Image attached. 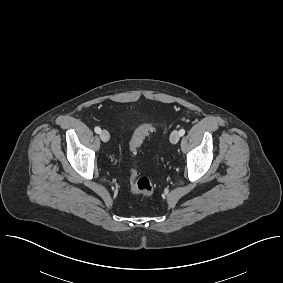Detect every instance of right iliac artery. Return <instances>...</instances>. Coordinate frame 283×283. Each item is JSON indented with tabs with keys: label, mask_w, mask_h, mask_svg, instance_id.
<instances>
[{
	"label": "right iliac artery",
	"mask_w": 283,
	"mask_h": 283,
	"mask_svg": "<svg viewBox=\"0 0 283 283\" xmlns=\"http://www.w3.org/2000/svg\"><path fill=\"white\" fill-rule=\"evenodd\" d=\"M94 131H95L97 134H99V133L101 132V129H100V127H95V128H94Z\"/></svg>",
	"instance_id": "1"
}]
</instances>
